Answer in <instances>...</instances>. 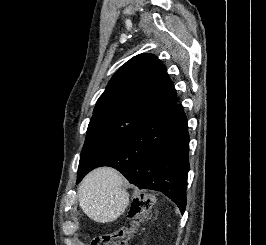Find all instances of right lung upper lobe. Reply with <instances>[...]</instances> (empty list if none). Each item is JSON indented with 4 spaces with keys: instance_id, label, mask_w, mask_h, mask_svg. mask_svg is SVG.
Masks as SVG:
<instances>
[{
    "instance_id": "cb5924a9",
    "label": "right lung upper lobe",
    "mask_w": 266,
    "mask_h": 245,
    "mask_svg": "<svg viewBox=\"0 0 266 245\" xmlns=\"http://www.w3.org/2000/svg\"><path fill=\"white\" fill-rule=\"evenodd\" d=\"M177 101L164 64L155 55L144 53L127 61L113 75L93 116L118 114L142 120Z\"/></svg>"
}]
</instances>
